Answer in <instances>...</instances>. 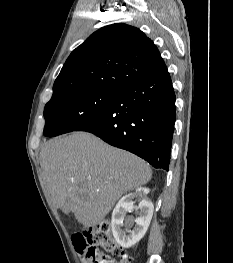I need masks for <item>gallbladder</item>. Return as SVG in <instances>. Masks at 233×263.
Instances as JSON below:
<instances>
[{
	"instance_id": "gallbladder-1",
	"label": "gallbladder",
	"mask_w": 233,
	"mask_h": 263,
	"mask_svg": "<svg viewBox=\"0 0 233 263\" xmlns=\"http://www.w3.org/2000/svg\"><path fill=\"white\" fill-rule=\"evenodd\" d=\"M62 210H63V212H64L65 214H67V215L70 213V210H69L68 208H63Z\"/></svg>"
}]
</instances>
